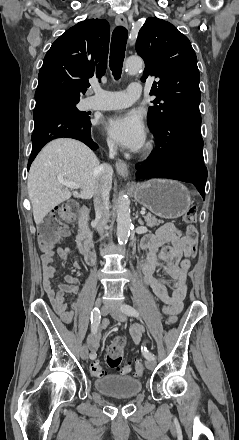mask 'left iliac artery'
<instances>
[{
	"label": "left iliac artery",
	"mask_w": 239,
	"mask_h": 440,
	"mask_svg": "<svg viewBox=\"0 0 239 440\" xmlns=\"http://www.w3.org/2000/svg\"><path fill=\"white\" fill-rule=\"evenodd\" d=\"M121 310L128 316L137 317L139 315L138 311L134 307L127 304L122 305ZM141 350L147 360L155 359V355L149 352L145 346L142 347Z\"/></svg>",
	"instance_id": "obj_1"
}]
</instances>
